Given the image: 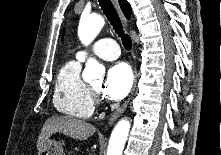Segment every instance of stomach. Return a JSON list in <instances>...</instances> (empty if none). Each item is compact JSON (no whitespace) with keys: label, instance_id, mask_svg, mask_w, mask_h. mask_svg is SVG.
I'll return each instance as SVG.
<instances>
[{"label":"stomach","instance_id":"obj_1","mask_svg":"<svg viewBox=\"0 0 221 155\" xmlns=\"http://www.w3.org/2000/svg\"><path fill=\"white\" fill-rule=\"evenodd\" d=\"M39 155H65L60 142L48 139Z\"/></svg>","mask_w":221,"mask_h":155}]
</instances>
